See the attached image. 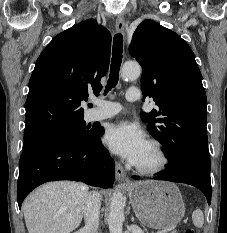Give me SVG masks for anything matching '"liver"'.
Returning <instances> with one entry per match:
<instances>
[{"mask_svg":"<svg viewBox=\"0 0 227 233\" xmlns=\"http://www.w3.org/2000/svg\"><path fill=\"white\" fill-rule=\"evenodd\" d=\"M88 196L85 184L49 182L23 203L28 233H71L79 227Z\"/></svg>","mask_w":227,"mask_h":233,"instance_id":"6515ba94","label":"liver"}]
</instances>
